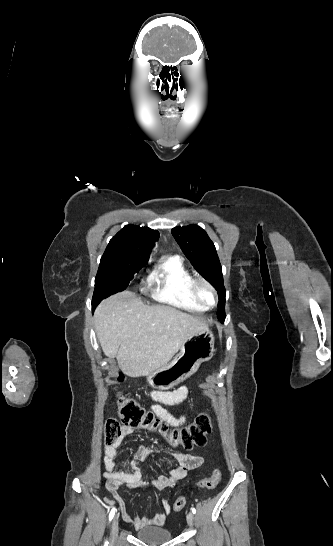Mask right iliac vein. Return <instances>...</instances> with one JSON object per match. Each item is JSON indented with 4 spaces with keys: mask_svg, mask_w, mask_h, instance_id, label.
<instances>
[{
    "mask_svg": "<svg viewBox=\"0 0 333 546\" xmlns=\"http://www.w3.org/2000/svg\"><path fill=\"white\" fill-rule=\"evenodd\" d=\"M117 535H118V516L116 515L112 521V525H111V537H110V540H111V543H115L116 539H117Z\"/></svg>",
    "mask_w": 333,
    "mask_h": 546,
    "instance_id": "1",
    "label": "right iliac vein"
}]
</instances>
